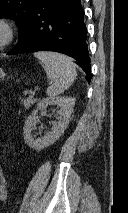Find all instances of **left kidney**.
Instances as JSON below:
<instances>
[{
    "label": "left kidney",
    "mask_w": 128,
    "mask_h": 213,
    "mask_svg": "<svg viewBox=\"0 0 128 213\" xmlns=\"http://www.w3.org/2000/svg\"><path fill=\"white\" fill-rule=\"evenodd\" d=\"M75 99L72 97H50L41 100L36 107V110L26 119L24 124V140L25 143L34 150H41L54 143L67 128L69 118L73 112ZM49 105H57L58 121L53 122L52 131L46 133L41 138H34L32 131L37 124L38 111L46 110Z\"/></svg>",
    "instance_id": "5707ae66"
}]
</instances>
